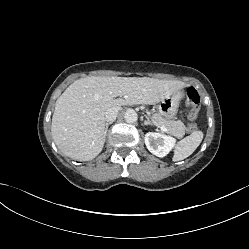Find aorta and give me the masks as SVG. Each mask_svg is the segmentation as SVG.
I'll return each mask as SVG.
<instances>
[{
  "instance_id": "1",
  "label": "aorta",
  "mask_w": 249,
  "mask_h": 249,
  "mask_svg": "<svg viewBox=\"0 0 249 249\" xmlns=\"http://www.w3.org/2000/svg\"><path fill=\"white\" fill-rule=\"evenodd\" d=\"M124 119L127 123H134L138 119V115L135 110L133 109H128L125 112Z\"/></svg>"
}]
</instances>
